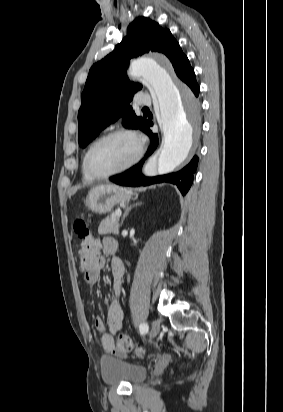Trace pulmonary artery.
Returning a JSON list of instances; mask_svg holds the SVG:
<instances>
[{
    "label": "pulmonary artery",
    "mask_w": 283,
    "mask_h": 412,
    "mask_svg": "<svg viewBox=\"0 0 283 412\" xmlns=\"http://www.w3.org/2000/svg\"><path fill=\"white\" fill-rule=\"evenodd\" d=\"M138 98V104L141 106H149L151 105V99L150 97H148L147 95L143 94V93H139L137 95Z\"/></svg>",
    "instance_id": "obj_1"
}]
</instances>
